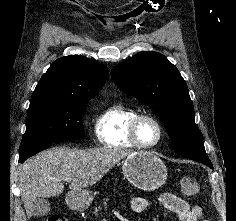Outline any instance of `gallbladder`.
I'll list each match as a JSON object with an SVG mask.
<instances>
[{"label": "gallbladder", "mask_w": 236, "mask_h": 221, "mask_svg": "<svg viewBox=\"0 0 236 221\" xmlns=\"http://www.w3.org/2000/svg\"><path fill=\"white\" fill-rule=\"evenodd\" d=\"M50 211V203L47 199L38 197L33 202V215L37 217L45 216Z\"/></svg>", "instance_id": "gallbladder-1"}]
</instances>
